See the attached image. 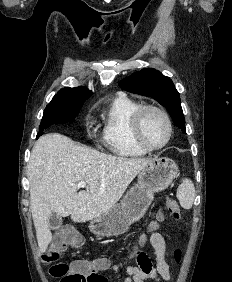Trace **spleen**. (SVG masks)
<instances>
[{
	"label": "spleen",
	"mask_w": 232,
	"mask_h": 282,
	"mask_svg": "<svg viewBox=\"0 0 232 282\" xmlns=\"http://www.w3.org/2000/svg\"><path fill=\"white\" fill-rule=\"evenodd\" d=\"M196 196L195 187L191 180L184 178L177 189V198L184 209H190Z\"/></svg>",
	"instance_id": "spleen-1"
}]
</instances>
